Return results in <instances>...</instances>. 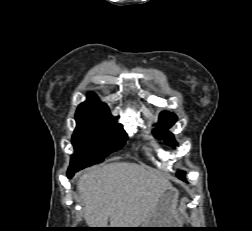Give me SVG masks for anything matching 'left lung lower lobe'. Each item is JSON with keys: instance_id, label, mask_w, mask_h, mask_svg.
Masks as SVG:
<instances>
[{"instance_id": "obj_1", "label": "left lung lower lobe", "mask_w": 252, "mask_h": 231, "mask_svg": "<svg viewBox=\"0 0 252 231\" xmlns=\"http://www.w3.org/2000/svg\"><path fill=\"white\" fill-rule=\"evenodd\" d=\"M179 178H181L182 180H185V178L183 176H178Z\"/></svg>"}]
</instances>
